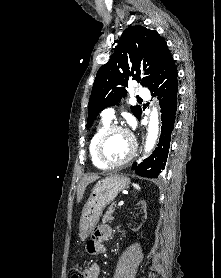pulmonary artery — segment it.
Returning <instances> with one entry per match:
<instances>
[{
    "label": "pulmonary artery",
    "mask_w": 221,
    "mask_h": 278,
    "mask_svg": "<svg viewBox=\"0 0 221 278\" xmlns=\"http://www.w3.org/2000/svg\"><path fill=\"white\" fill-rule=\"evenodd\" d=\"M137 95L141 98L147 99L149 94L148 90L145 87H140L137 91ZM102 117L106 121H111L115 118V109L114 107H108L102 111Z\"/></svg>",
    "instance_id": "pulmonary-artery-1"
}]
</instances>
